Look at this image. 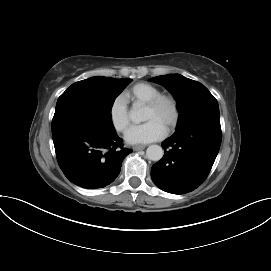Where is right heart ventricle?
Instances as JSON below:
<instances>
[{"mask_svg": "<svg viewBox=\"0 0 271 271\" xmlns=\"http://www.w3.org/2000/svg\"><path fill=\"white\" fill-rule=\"evenodd\" d=\"M159 94H161V91L155 85L148 82H140L126 90L124 98L134 104H145Z\"/></svg>", "mask_w": 271, "mask_h": 271, "instance_id": "obj_1", "label": "right heart ventricle"}]
</instances>
